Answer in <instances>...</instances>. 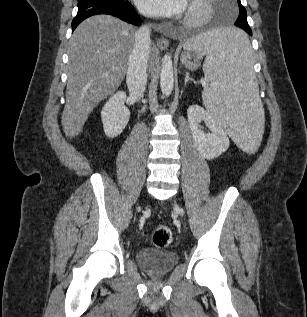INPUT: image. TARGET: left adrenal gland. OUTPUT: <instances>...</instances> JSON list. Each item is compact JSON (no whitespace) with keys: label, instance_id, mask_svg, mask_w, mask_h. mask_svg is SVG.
<instances>
[{"label":"left adrenal gland","instance_id":"left-adrenal-gland-1","mask_svg":"<svg viewBox=\"0 0 307 317\" xmlns=\"http://www.w3.org/2000/svg\"><path fill=\"white\" fill-rule=\"evenodd\" d=\"M189 81H193L192 78L189 77V73L186 72V76H185V81H184V84L186 85Z\"/></svg>","mask_w":307,"mask_h":317}]
</instances>
